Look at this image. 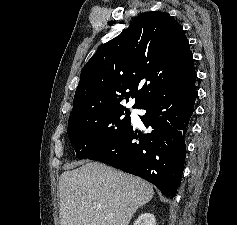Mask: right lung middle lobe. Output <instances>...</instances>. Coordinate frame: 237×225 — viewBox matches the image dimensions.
Listing matches in <instances>:
<instances>
[{"instance_id": "dd1d6c3e", "label": "right lung middle lobe", "mask_w": 237, "mask_h": 225, "mask_svg": "<svg viewBox=\"0 0 237 225\" xmlns=\"http://www.w3.org/2000/svg\"><path fill=\"white\" fill-rule=\"evenodd\" d=\"M126 114L123 118L122 116ZM131 126L129 111H108L69 124L68 135L78 159H86L115 141Z\"/></svg>"}]
</instances>
